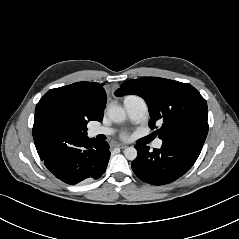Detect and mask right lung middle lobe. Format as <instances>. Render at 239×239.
I'll return each instance as SVG.
<instances>
[{"mask_svg":"<svg viewBox=\"0 0 239 239\" xmlns=\"http://www.w3.org/2000/svg\"><path fill=\"white\" fill-rule=\"evenodd\" d=\"M34 133L48 145L79 135L76 120L66 113L42 122L36 127Z\"/></svg>","mask_w":239,"mask_h":239,"instance_id":"obj_1","label":"right lung middle lobe"}]
</instances>
